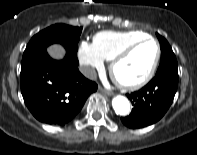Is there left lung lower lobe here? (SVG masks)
Instances as JSON below:
<instances>
[{"label":"left lung lower lobe","mask_w":197,"mask_h":155,"mask_svg":"<svg viewBox=\"0 0 197 155\" xmlns=\"http://www.w3.org/2000/svg\"><path fill=\"white\" fill-rule=\"evenodd\" d=\"M178 85V73L156 75L141 90L127 94L134 106L121 121L129 128H142L160 120L173 102Z\"/></svg>","instance_id":"1"}]
</instances>
